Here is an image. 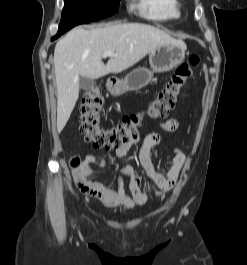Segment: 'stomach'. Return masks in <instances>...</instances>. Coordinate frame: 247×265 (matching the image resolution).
Wrapping results in <instances>:
<instances>
[{
  "mask_svg": "<svg viewBox=\"0 0 247 265\" xmlns=\"http://www.w3.org/2000/svg\"><path fill=\"white\" fill-rule=\"evenodd\" d=\"M186 45L163 44L150 52V69L140 67L131 71L124 80H109L107 89L113 96L139 90L152 81L153 73L168 72L177 67L185 58Z\"/></svg>",
  "mask_w": 247,
  "mask_h": 265,
  "instance_id": "1",
  "label": "stomach"
}]
</instances>
